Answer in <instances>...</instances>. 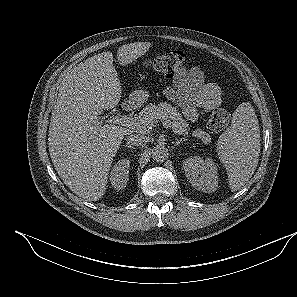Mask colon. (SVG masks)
Instances as JSON below:
<instances>
[{
	"label": "colon",
	"mask_w": 297,
	"mask_h": 297,
	"mask_svg": "<svg viewBox=\"0 0 297 297\" xmlns=\"http://www.w3.org/2000/svg\"><path fill=\"white\" fill-rule=\"evenodd\" d=\"M188 58L179 50L159 54L147 61L146 66L164 76L174 77L184 70ZM229 112L225 108H216L209 116L207 128L212 133L223 131L229 123Z\"/></svg>",
	"instance_id": "colon-1"
}]
</instances>
